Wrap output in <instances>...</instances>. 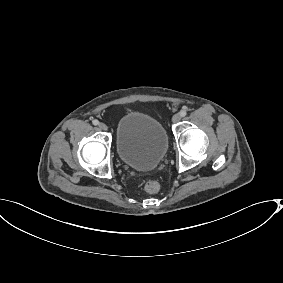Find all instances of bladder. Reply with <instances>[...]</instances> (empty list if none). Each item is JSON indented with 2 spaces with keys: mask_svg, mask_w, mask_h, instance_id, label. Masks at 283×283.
I'll list each match as a JSON object with an SVG mask.
<instances>
[{
  "mask_svg": "<svg viewBox=\"0 0 283 283\" xmlns=\"http://www.w3.org/2000/svg\"><path fill=\"white\" fill-rule=\"evenodd\" d=\"M115 146L121 161L133 169H153L164 158L168 135L154 117L131 111L125 113L115 128Z\"/></svg>",
  "mask_w": 283,
  "mask_h": 283,
  "instance_id": "obj_1",
  "label": "bladder"
}]
</instances>
